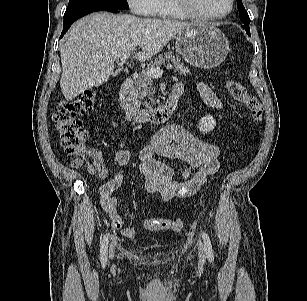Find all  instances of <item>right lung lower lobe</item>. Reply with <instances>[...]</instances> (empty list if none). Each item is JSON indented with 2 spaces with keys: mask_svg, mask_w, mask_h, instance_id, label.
<instances>
[{
  "mask_svg": "<svg viewBox=\"0 0 307 301\" xmlns=\"http://www.w3.org/2000/svg\"><path fill=\"white\" fill-rule=\"evenodd\" d=\"M95 11H109V12H118L119 9H99V10H94V11H89V12H85V13H82V14H78V15H75V16H71L69 18H66L64 19V22H63V30H62V33H61V37H63V35L67 32V30L69 29V27L71 26V24L76 21L77 19L91 13V12H95Z\"/></svg>",
  "mask_w": 307,
  "mask_h": 301,
  "instance_id": "98d812e1",
  "label": "right lung lower lobe"
}]
</instances>
